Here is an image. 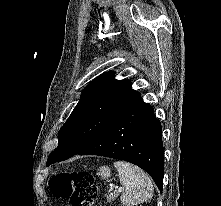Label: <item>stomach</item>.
<instances>
[{
  "label": "stomach",
  "mask_w": 221,
  "mask_h": 206,
  "mask_svg": "<svg viewBox=\"0 0 221 206\" xmlns=\"http://www.w3.org/2000/svg\"><path fill=\"white\" fill-rule=\"evenodd\" d=\"M99 176H101L103 179H106L108 177H110L111 172L110 169L106 166L100 167V169H98V173Z\"/></svg>",
  "instance_id": "0dacf381"
}]
</instances>
